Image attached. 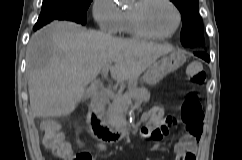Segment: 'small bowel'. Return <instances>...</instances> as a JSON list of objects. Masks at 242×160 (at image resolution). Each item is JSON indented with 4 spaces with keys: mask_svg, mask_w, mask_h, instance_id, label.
I'll return each instance as SVG.
<instances>
[{
    "mask_svg": "<svg viewBox=\"0 0 242 160\" xmlns=\"http://www.w3.org/2000/svg\"><path fill=\"white\" fill-rule=\"evenodd\" d=\"M175 123H176V120L174 118H170L164 121L160 113H158L156 115V118L153 121H151L146 128H143L141 130V137L143 139L153 138L152 133L154 131H158L163 135L167 127H172L173 125H175ZM201 134H202V127L198 134L191 135L187 133L180 142L174 145L176 160H196L197 145L200 142ZM153 139H156V138H153ZM67 144H68V151H69L68 160H73L74 152L70 144L68 142Z\"/></svg>",
    "mask_w": 242,
    "mask_h": 160,
    "instance_id": "small-bowel-1",
    "label": "small bowel"
}]
</instances>
